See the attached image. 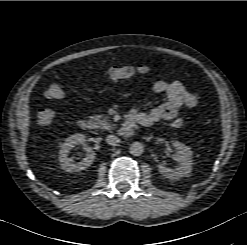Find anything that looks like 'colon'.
Segmentation results:
<instances>
[{"mask_svg":"<svg viewBox=\"0 0 247 245\" xmlns=\"http://www.w3.org/2000/svg\"><path fill=\"white\" fill-rule=\"evenodd\" d=\"M154 66L141 64L134 66H113L107 71V77L112 81L130 79L137 74H143L151 70ZM45 96L52 100H61L65 96V92L58 84H51L45 91ZM37 122L40 125H49L55 118L54 110L50 108H40L36 112ZM184 125V120L181 118L175 119L172 122L174 128H181Z\"/></svg>","mask_w":247,"mask_h":245,"instance_id":"obj_1","label":"colon"}]
</instances>
